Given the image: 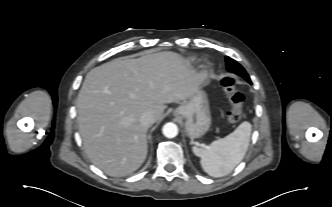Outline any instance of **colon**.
<instances>
[{
    "label": "colon",
    "mask_w": 332,
    "mask_h": 207,
    "mask_svg": "<svg viewBox=\"0 0 332 207\" xmlns=\"http://www.w3.org/2000/svg\"><path fill=\"white\" fill-rule=\"evenodd\" d=\"M222 87L231 105L227 113V122L236 123L242 117L244 95L236 89L235 80L231 76L223 78Z\"/></svg>",
    "instance_id": "1"
}]
</instances>
